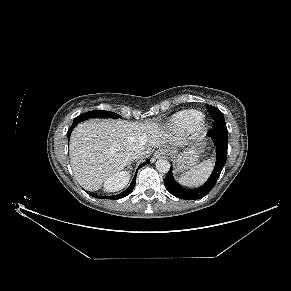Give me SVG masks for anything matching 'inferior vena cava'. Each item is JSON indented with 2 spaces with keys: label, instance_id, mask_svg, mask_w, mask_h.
Here are the masks:
<instances>
[{
  "label": "inferior vena cava",
  "instance_id": "obj_1",
  "mask_svg": "<svg viewBox=\"0 0 291 291\" xmlns=\"http://www.w3.org/2000/svg\"><path fill=\"white\" fill-rule=\"evenodd\" d=\"M144 153V146L138 145V146H133L128 150V155L130 159H138L143 156Z\"/></svg>",
  "mask_w": 291,
  "mask_h": 291
}]
</instances>
